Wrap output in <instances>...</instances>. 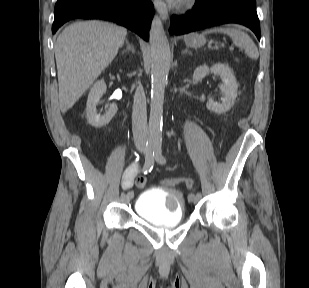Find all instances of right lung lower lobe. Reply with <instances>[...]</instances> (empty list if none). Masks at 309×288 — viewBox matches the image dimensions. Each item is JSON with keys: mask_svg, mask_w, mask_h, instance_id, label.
<instances>
[{"mask_svg": "<svg viewBox=\"0 0 309 288\" xmlns=\"http://www.w3.org/2000/svg\"><path fill=\"white\" fill-rule=\"evenodd\" d=\"M154 14L150 0H64L56 3L52 33L75 18L112 20L149 39V25Z\"/></svg>", "mask_w": 309, "mask_h": 288, "instance_id": "98d812e1", "label": "right lung lower lobe"}]
</instances>
